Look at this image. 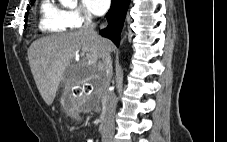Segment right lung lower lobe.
Wrapping results in <instances>:
<instances>
[{
	"mask_svg": "<svg viewBox=\"0 0 227 142\" xmlns=\"http://www.w3.org/2000/svg\"><path fill=\"white\" fill-rule=\"evenodd\" d=\"M129 2L130 0H112L111 8L106 14L108 27L100 31L102 36L111 39L117 47Z\"/></svg>",
	"mask_w": 227,
	"mask_h": 142,
	"instance_id": "98d812e1",
	"label": "right lung lower lobe"
}]
</instances>
